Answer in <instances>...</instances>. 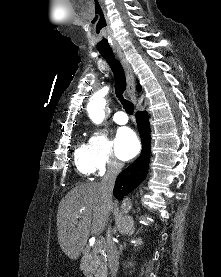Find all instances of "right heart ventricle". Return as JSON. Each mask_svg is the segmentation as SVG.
I'll list each match as a JSON object with an SVG mask.
<instances>
[{
	"label": "right heart ventricle",
	"instance_id": "e07e8e85",
	"mask_svg": "<svg viewBox=\"0 0 221 277\" xmlns=\"http://www.w3.org/2000/svg\"><path fill=\"white\" fill-rule=\"evenodd\" d=\"M74 162L82 176L88 177L94 172L90 158L89 143L81 142L78 144L74 153Z\"/></svg>",
	"mask_w": 221,
	"mask_h": 277
}]
</instances>
